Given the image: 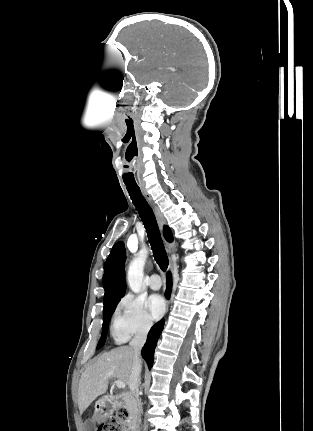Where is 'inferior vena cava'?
Masks as SVG:
<instances>
[{
    "label": "inferior vena cava",
    "instance_id": "inferior-vena-cava-1",
    "mask_svg": "<svg viewBox=\"0 0 313 431\" xmlns=\"http://www.w3.org/2000/svg\"><path fill=\"white\" fill-rule=\"evenodd\" d=\"M152 323L146 324L144 328L138 331L134 338L130 342V348L133 352L132 368L129 378V388H130V401L129 406L131 411L139 416L140 414V400H139V385H140V373H141V359L140 352L145 344L147 334L151 328Z\"/></svg>",
    "mask_w": 313,
    "mask_h": 431
}]
</instances>
